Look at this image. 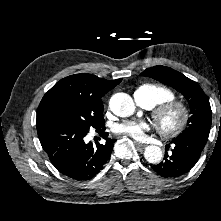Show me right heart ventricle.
<instances>
[{
	"instance_id": "1",
	"label": "right heart ventricle",
	"mask_w": 221,
	"mask_h": 221,
	"mask_svg": "<svg viewBox=\"0 0 221 221\" xmlns=\"http://www.w3.org/2000/svg\"><path fill=\"white\" fill-rule=\"evenodd\" d=\"M136 91L144 92L150 99L152 107L175 97L172 89L161 84L147 83L139 86Z\"/></svg>"
}]
</instances>
